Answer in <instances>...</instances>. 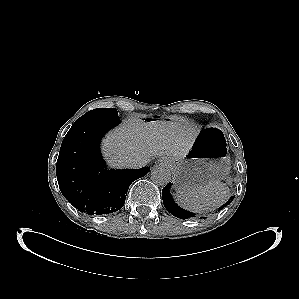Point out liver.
<instances>
[{"instance_id":"1","label":"liver","mask_w":299,"mask_h":299,"mask_svg":"<svg viewBox=\"0 0 299 299\" xmlns=\"http://www.w3.org/2000/svg\"><path fill=\"white\" fill-rule=\"evenodd\" d=\"M199 130L187 122L133 120L109 133L103 142L105 156L116 167L132 159L167 156L182 158L192 148Z\"/></svg>"}]
</instances>
